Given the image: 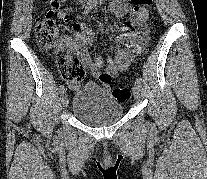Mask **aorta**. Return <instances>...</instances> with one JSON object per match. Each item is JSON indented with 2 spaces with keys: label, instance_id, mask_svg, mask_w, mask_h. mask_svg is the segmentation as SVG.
I'll list each match as a JSON object with an SVG mask.
<instances>
[{
  "label": "aorta",
  "instance_id": "obj_1",
  "mask_svg": "<svg viewBox=\"0 0 207 179\" xmlns=\"http://www.w3.org/2000/svg\"><path fill=\"white\" fill-rule=\"evenodd\" d=\"M88 2H89L90 4H94V5H96V4L98 3V0H88Z\"/></svg>",
  "mask_w": 207,
  "mask_h": 179
}]
</instances>
